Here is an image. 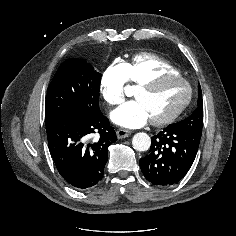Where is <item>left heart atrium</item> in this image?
<instances>
[{"mask_svg":"<svg viewBox=\"0 0 236 236\" xmlns=\"http://www.w3.org/2000/svg\"><path fill=\"white\" fill-rule=\"evenodd\" d=\"M111 119L117 125L127 128H138L147 123L150 115L144 103L137 99L126 102L113 111Z\"/></svg>","mask_w":236,"mask_h":236,"instance_id":"1","label":"left heart atrium"}]
</instances>
